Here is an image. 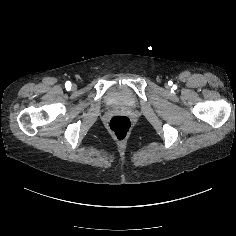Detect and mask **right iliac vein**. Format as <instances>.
Returning a JSON list of instances; mask_svg holds the SVG:
<instances>
[{
	"label": "right iliac vein",
	"instance_id": "1",
	"mask_svg": "<svg viewBox=\"0 0 236 236\" xmlns=\"http://www.w3.org/2000/svg\"><path fill=\"white\" fill-rule=\"evenodd\" d=\"M73 88H74V89L76 88V85H75V84H73Z\"/></svg>",
	"mask_w": 236,
	"mask_h": 236
}]
</instances>
